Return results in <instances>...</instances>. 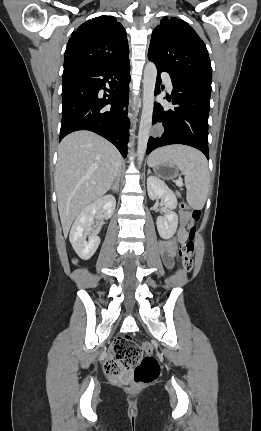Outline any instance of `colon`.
I'll list each match as a JSON object with an SVG mask.
<instances>
[{"mask_svg": "<svg viewBox=\"0 0 261 431\" xmlns=\"http://www.w3.org/2000/svg\"><path fill=\"white\" fill-rule=\"evenodd\" d=\"M186 216L196 221L200 217V212L191 209L185 203L180 205ZM196 228L191 226L187 229L186 238L181 244L179 255L182 259V266L186 272L193 270L194 238ZM144 352L146 353L144 355ZM105 373L111 377H118L123 372L133 369V384L135 386L148 385L155 381L160 373V366L153 356L150 345L140 346L129 337H120L115 340L111 348V357L104 365Z\"/></svg>", "mask_w": 261, "mask_h": 431, "instance_id": "obj_1", "label": "colon"}]
</instances>
